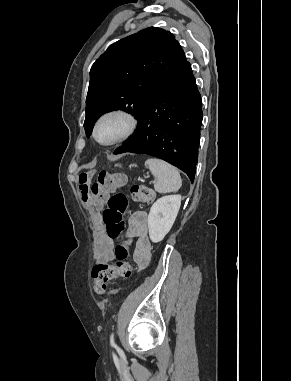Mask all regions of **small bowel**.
I'll return each instance as SVG.
<instances>
[{
  "label": "small bowel",
  "instance_id": "c3829d8e",
  "mask_svg": "<svg viewBox=\"0 0 291 381\" xmlns=\"http://www.w3.org/2000/svg\"><path fill=\"white\" fill-rule=\"evenodd\" d=\"M128 233L135 240L134 258L140 268L146 267L151 259L152 246L148 237V215L145 211H136L129 218ZM114 258V242L104 232L97 236L95 259L98 263H108Z\"/></svg>",
  "mask_w": 291,
  "mask_h": 381
}]
</instances>
